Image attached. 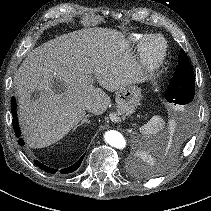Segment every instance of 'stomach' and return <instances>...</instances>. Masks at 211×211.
Instances as JSON below:
<instances>
[{"label": "stomach", "instance_id": "obj_1", "mask_svg": "<svg viewBox=\"0 0 211 211\" xmlns=\"http://www.w3.org/2000/svg\"><path fill=\"white\" fill-rule=\"evenodd\" d=\"M141 97V89L135 85L120 88L115 98L118 113L126 116L132 114L137 108Z\"/></svg>", "mask_w": 211, "mask_h": 211}]
</instances>
